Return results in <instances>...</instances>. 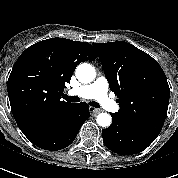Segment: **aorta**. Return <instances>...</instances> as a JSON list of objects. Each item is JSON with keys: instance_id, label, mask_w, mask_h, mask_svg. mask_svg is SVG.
<instances>
[{"instance_id": "1", "label": "aorta", "mask_w": 178, "mask_h": 178, "mask_svg": "<svg viewBox=\"0 0 178 178\" xmlns=\"http://www.w3.org/2000/svg\"><path fill=\"white\" fill-rule=\"evenodd\" d=\"M96 75L95 68L88 63H81L76 68V78L84 84L94 80ZM97 124L101 127H109L112 122V117L108 113H100L97 116Z\"/></svg>"}]
</instances>
